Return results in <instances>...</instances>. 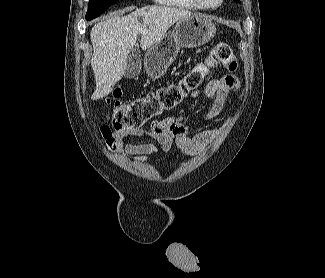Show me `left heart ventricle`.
<instances>
[{"instance_id": "obj_1", "label": "left heart ventricle", "mask_w": 325, "mask_h": 278, "mask_svg": "<svg viewBox=\"0 0 325 278\" xmlns=\"http://www.w3.org/2000/svg\"><path fill=\"white\" fill-rule=\"evenodd\" d=\"M208 5H215L219 0H204Z\"/></svg>"}]
</instances>
